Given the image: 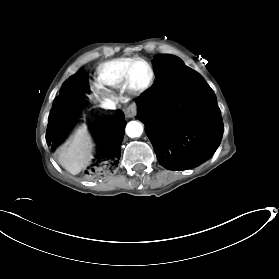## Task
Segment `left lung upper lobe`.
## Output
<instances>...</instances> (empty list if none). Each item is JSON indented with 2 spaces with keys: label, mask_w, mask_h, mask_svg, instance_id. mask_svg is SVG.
<instances>
[{
  "label": "left lung upper lobe",
  "mask_w": 279,
  "mask_h": 279,
  "mask_svg": "<svg viewBox=\"0 0 279 279\" xmlns=\"http://www.w3.org/2000/svg\"><path fill=\"white\" fill-rule=\"evenodd\" d=\"M166 62H175L178 70L185 71L190 69L183 63L180 58L173 55H156L153 60L154 69H159ZM174 71L176 70H169V72L164 73L162 77L156 78L154 85L150 89L145 91L146 94L158 96L171 90L177 83V78H164V76H167L169 75V73H172Z\"/></svg>",
  "instance_id": "obj_1"
}]
</instances>
